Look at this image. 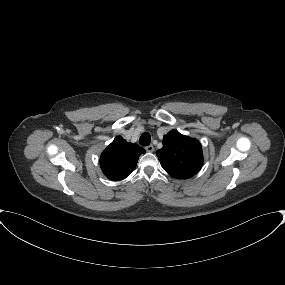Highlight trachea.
I'll return each instance as SVG.
<instances>
[{
	"label": "trachea",
	"mask_w": 285,
	"mask_h": 285,
	"mask_svg": "<svg viewBox=\"0 0 285 285\" xmlns=\"http://www.w3.org/2000/svg\"><path fill=\"white\" fill-rule=\"evenodd\" d=\"M151 142V136L148 132L143 133L140 136L139 143L143 146H148Z\"/></svg>",
	"instance_id": "obj_1"
}]
</instances>
